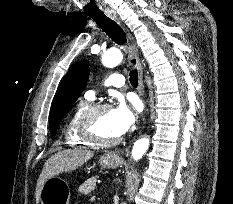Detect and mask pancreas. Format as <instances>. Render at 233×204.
<instances>
[{"instance_id": "cf45deb5", "label": "pancreas", "mask_w": 233, "mask_h": 204, "mask_svg": "<svg viewBox=\"0 0 233 204\" xmlns=\"http://www.w3.org/2000/svg\"><path fill=\"white\" fill-rule=\"evenodd\" d=\"M98 179V176H93L86 180L78 189L79 193H83L85 195L91 193L96 186V181Z\"/></svg>"}]
</instances>
